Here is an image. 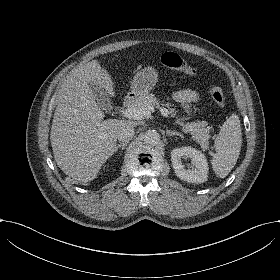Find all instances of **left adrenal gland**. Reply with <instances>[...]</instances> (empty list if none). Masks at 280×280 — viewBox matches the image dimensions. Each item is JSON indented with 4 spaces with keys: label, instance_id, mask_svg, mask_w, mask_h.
<instances>
[{
    "label": "left adrenal gland",
    "instance_id": "obj_1",
    "mask_svg": "<svg viewBox=\"0 0 280 280\" xmlns=\"http://www.w3.org/2000/svg\"><path fill=\"white\" fill-rule=\"evenodd\" d=\"M166 134L168 136H173V135H176V136H182V133L181 132H177L175 130H166Z\"/></svg>",
    "mask_w": 280,
    "mask_h": 280
}]
</instances>
